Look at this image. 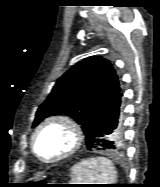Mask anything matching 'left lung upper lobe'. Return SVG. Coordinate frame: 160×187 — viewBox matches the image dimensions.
<instances>
[{"instance_id": "left-lung-upper-lobe-1", "label": "left lung upper lobe", "mask_w": 160, "mask_h": 187, "mask_svg": "<svg viewBox=\"0 0 160 187\" xmlns=\"http://www.w3.org/2000/svg\"><path fill=\"white\" fill-rule=\"evenodd\" d=\"M120 91L118 76L108 60L100 56L85 58L57 80L47 99L39 106L33 126L46 117L64 114L73 117L86 135L102 109ZM111 138L122 142L120 127Z\"/></svg>"}]
</instances>
